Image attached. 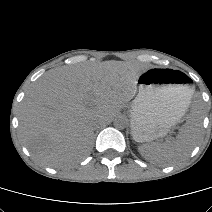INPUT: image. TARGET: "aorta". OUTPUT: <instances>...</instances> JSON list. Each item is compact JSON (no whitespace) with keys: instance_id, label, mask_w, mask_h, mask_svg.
<instances>
[{"instance_id":"aorta-1","label":"aorta","mask_w":212,"mask_h":212,"mask_svg":"<svg viewBox=\"0 0 212 212\" xmlns=\"http://www.w3.org/2000/svg\"><path fill=\"white\" fill-rule=\"evenodd\" d=\"M113 124L117 129H125L128 125V119L125 116H117Z\"/></svg>"}]
</instances>
